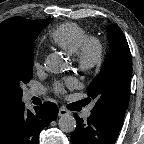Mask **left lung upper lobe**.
<instances>
[{"label": "left lung upper lobe", "mask_w": 144, "mask_h": 144, "mask_svg": "<svg viewBox=\"0 0 144 144\" xmlns=\"http://www.w3.org/2000/svg\"><path fill=\"white\" fill-rule=\"evenodd\" d=\"M110 50L99 75L91 82L87 94L96 100L92 111L123 123L129 102L132 59L122 30L112 24L107 27Z\"/></svg>", "instance_id": "obj_1"}]
</instances>
